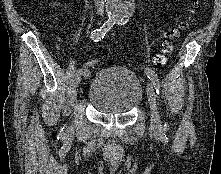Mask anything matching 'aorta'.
Instances as JSON below:
<instances>
[{
    "label": "aorta",
    "instance_id": "aorta-1",
    "mask_svg": "<svg viewBox=\"0 0 221 174\" xmlns=\"http://www.w3.org/2000/svg\"><path fill=\"white\" fill-rule=\"evenodd\" d=\"M109 19L114 21H126L134 9V0H105Z\"/></svg>",
    "mask_w": 221,
    "mask_h": 174
}]
</instances>
